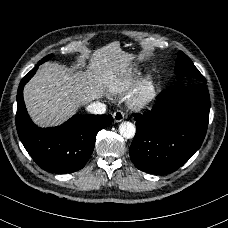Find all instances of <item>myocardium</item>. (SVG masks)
Returning a JSON list of instances; mask_svg holds the SVG:
<instances>
[{
    "label": "myocardium",
    "instance_id": "1",
    "mask_svg": "<svg viewBox=\"0 0 228 228\" xmlns=\"http://www.w3.org/2000/svg\"><path fill=\"white\" fill-rule=\"evenodd\" d=\"M158 100L156 83L152 77H147L135 96V104L140 107H151Z\"/></svg>",
    "mask_w": 228,
    "mask_h": 228
}]
</instances>
